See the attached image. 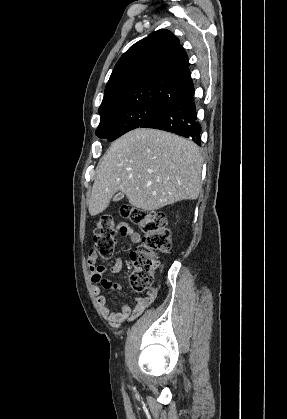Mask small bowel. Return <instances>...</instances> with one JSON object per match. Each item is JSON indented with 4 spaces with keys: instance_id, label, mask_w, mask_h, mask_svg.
Wrapping results in <instances>:
<instances>
[{
    "instance_id": "1",
    "label": "small bowel",
    "mask_w": 287,
    "mask_h": 419,
    "mask_svg": "<svg viewBox=\"0 0 287 419\" xmlns=\"http://www.w3.org/2000/svg\"><path fill=\"white\" fill-rule=\"evenodd\" d=\"M121 235L129 237L134 243L141 240L140 234L134 231L128 224L120 223ZM122 265V259L118 257L109 272H117ZM88 266L91 272V279L94 284L93 292L97 298V304L102 316L113 326H118L124 321H131L140 316L156 298L155 292H149L145 297H131L129 302L122 305L120 309L111 310L107 305L106 297L101 293V287L111 290H121L122 285L113 282L105 277L107 269L97 264V256L92 252L88 258Z\"/></svg>"
}]
</instances>
